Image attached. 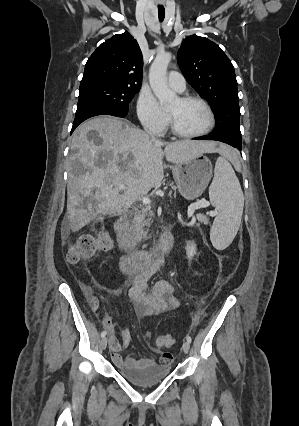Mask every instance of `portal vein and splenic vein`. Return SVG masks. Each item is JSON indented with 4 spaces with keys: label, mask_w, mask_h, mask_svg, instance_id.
Listing matches in <instances>:
<instances>
[{
    "label": "portal vein and splenic vein",
    "mask_w": 299,
    "mask_h": 426,
    "mask_svg": "<svg viewBox=\"0 0 299 426\" xmlns=\"http://www.w3.org/2000/svg\"><path fill=\"white\" fill-rule=\"evenodd\" d=\"M118 189L119 190H125L126 186L123 184H119L118 185ZM142 202L144 204H150L151 200L148 197L143 196L142 197ZM210 205V203L208 201H206L205 199L199 200L197 202L192 203L189 208H188V215L191 217L193 216L194 212L200 208H204V207H208Z\"/></svg>",
    "instance_id": "obj_1"
}]
</instances>
